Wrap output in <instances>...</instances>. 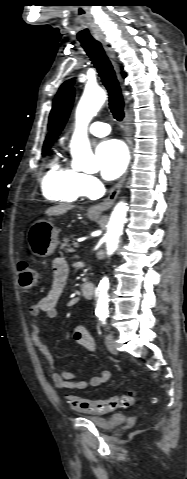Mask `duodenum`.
Returning <instances> with one entry per match:
<instances>
[{"label": "duodenum", "instance_id": "1", "mask_svg": "<svg viewBox=\"0 0 187 479\" xmlns=\"http://www.w3.org/2000/svg\"><path fill=\"white\" fill-rule=\"evenodd\" d=\"M80 290L86 300H91L95 295V286L89 281L82 282Z\"/></svg>", "mask_w": 187, "mask_h": 479}]
</instances>
